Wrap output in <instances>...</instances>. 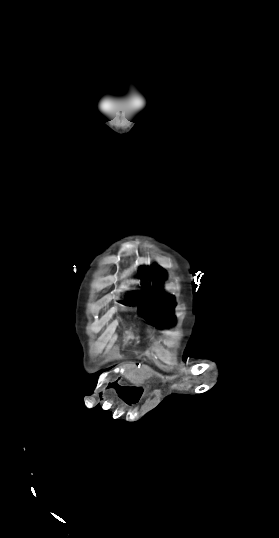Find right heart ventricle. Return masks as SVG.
Segmentation results:
<instances>
[{"mask_svg": "<svg viewBox=\"0 0 279 538\" xmlns=\"http://www.w3.org/2000/svg\"><path fill=\"white\" fill-rule=\"evenodd\" d=\"M101 220H102L101 218L97 219V220L93 223V224H94L93 226H95V228H99V226H100V224H101V222H102Z\"/></svg>", "mask_w": 279, "mask_h": 538, "instance_id": "1", "label": "right heart ventricle"}]
</instances>
